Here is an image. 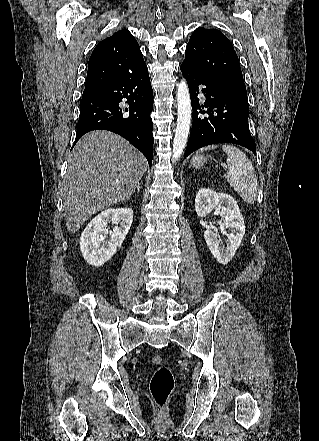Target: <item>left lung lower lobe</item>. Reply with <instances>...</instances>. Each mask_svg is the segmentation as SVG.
<instances>
[{"mask_svg":"<svg viewBox=\"0 0 319 441\" xmlns=\"http://www.w3.org/2000/svg\"><path fill=\"white\" fill-rule=\"evenodd\" d=\"M180 69L188 83L193 109V125L184 157L201 147L217 143L238 144L256 154L248 125V99L240 96L222 80L184 62ZM199 93L205 94L204 105L199 104ZM201 108L207 110L202 111ZM197 110L206 115L199 116Z\"/></svg>","mask_w":319,"mask_h":441,"instance_id":"left-lung-lower-lobe-1","label":"left lung lower lobe"}]
</instances>
